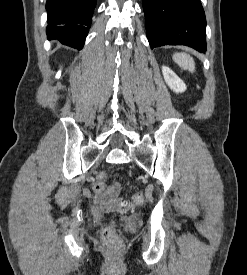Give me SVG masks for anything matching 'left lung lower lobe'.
Segmentation results:
<instances>
[{"instance_id": "obj_1", "label": "left lung lower lobe", "mask_w": 247, "mask_h": 275, "mask_svg": "<svg viewBox=\"0 0 247 275\" xmlns=\"http://www.w3.org/2000/svg\"><path fill=\"white\" fill-rule=\"evenodd\" d=\"M151 48L187 45L206 51V19L200 0H143Z\"/></svg>"}]
</instances>
